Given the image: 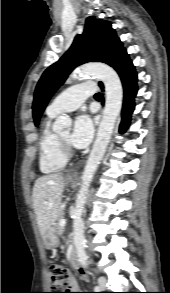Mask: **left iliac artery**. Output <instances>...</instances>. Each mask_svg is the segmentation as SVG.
<instances>
[{"label": "left iliac artery", "instance_id": "left-iliac-artery-1", "mask_svg": "<svg viewBox=\"0 0 170 293\" xmlns=\"http://www.w3.org/2000/svg\"><path fill=\"white\" fill-rule=\"evenodd\" d=\"M94 290H95V291H99V290H100V287L96 286V287L94 288Z\"/></svg>", "mask_w": 170, "mask_h": 293}]
</instances>
